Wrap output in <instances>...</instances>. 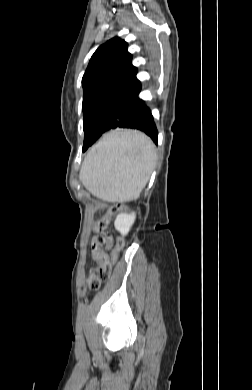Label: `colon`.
Wrapping results in <instances>:
<instances>
[{
	"instance_id": "5ec220e1",
	"label": "colon",
	"mask_w": 252,
	"mask_h": 390,
	"mask_svg": "<svg viewBox=\"0 0 252 390\" xmlns=\"http://www.w3.org/2000/svg\"><path fill=\"white\" fill-rule=\"evenodd\" d=\"M123 209L126 208L121 204L110 207L97 223L99 234L93 239L91 249L93 258H96L98 265L90 271L88 279L90 290H97L101 283L109 278L112 264L116 261L123 247L124 241L122 237L117 236L115 238L107 230L114 214ZM105 251H110V256Z\"/></svg>"
}]
</instances>
